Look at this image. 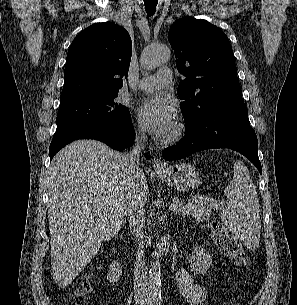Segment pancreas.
I'll use <instances>...</instances> for the list:
<instances>
[{
  "instance_id": "obj_1",
  "label": "pancreas",
  "mask_w": 297,
  "mask_h": 305,
  "mask_svg": "<svg viewBox=\"0 0 297 305\" xmlns=\"http://www.w3.org/2000/svg\"><path fill=\"white\" fill-rule=\"evenodd\" d=\"M178 210L176 212L183 216L192 215L198 221L208 220L211 209L213 207V202L210 198L205 196H193L192 200L187 203L180 202Z\"/></svg>"
}]
</instances>
